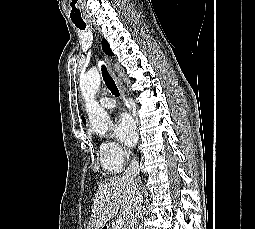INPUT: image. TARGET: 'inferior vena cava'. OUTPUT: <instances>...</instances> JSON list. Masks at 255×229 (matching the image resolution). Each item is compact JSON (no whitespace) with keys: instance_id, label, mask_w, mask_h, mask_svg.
Listing matches in <instances>:
<instances>
[{"instance_id":"1","label":"inferior vena cava","mask_w":255,"mask_h":229,"mask_svg":"<svg viewBox=\"0 0 255 229\" xmlns=\"http://www.w3.org/2000/svg\"><path fill=\"white\" fill-rule=\"evenodd\" d=\"M139 173L140 168L138 161L136 160V158H133L130 166L125 170L122 176L123 178L129 180L133 184H138L137 176L139 175ZM142 201H143L142 192L140 191V188H137L127 214L124 229H136L137 218L142 209Z\"/></svg>"}]
</instances>
